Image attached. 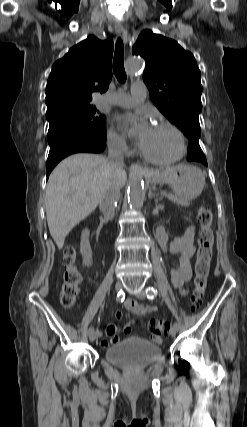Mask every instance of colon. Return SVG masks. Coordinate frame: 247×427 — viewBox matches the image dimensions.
<instances>
[{
	"label": "colon",
	"mask_w": 247,
	"mask_h": 427,
	"mask_svg": "<svg viewBox=\"0 0 247 427\" xmlns=\"http://www.w3.org/2000/svg\"><path fill=\"white\" fill-rule=\"evenodd\" d=\"M199 223L198 250L194 267L193 290L191 295V310H197L202 304L210 265L213 256L214 234L212 229L213 214L208 206H201L197 211ZM64 275L60 291L61 304L66 308L74 306L80 291L82 275L77 267V251L69 245L63 254ZM149 330L155 337L166 333L167 323L152 319L148 323Z\"/></svg>",
	"instance_id": "colon-1"
}]
</instances>
